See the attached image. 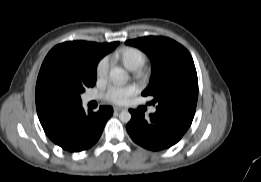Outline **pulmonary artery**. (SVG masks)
I'll return each instance as SVG.
<instances>
[{
	"label": "pulmonary artery",
	"instance_id": "pulmonary-artery-1",
	"mask_svg": "<svg viewBox=\"0 0 261 182\" xmlns=\"http://www.w3.org/2000/svg\"><path fill=\"white\" fill-rule=\"evenodd\" d=\"M94 99H95L94 96H92V95H88V96L85 97L84 100H85V102H90V101H92V100H94ZM155 111H156L155 108H152V109L150 110L151 113H155Z\"/></svg>",
	"mask_w": 261,
	"mask_h": 182
}]
</instances>
